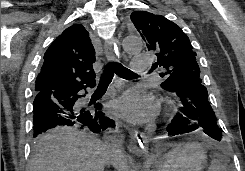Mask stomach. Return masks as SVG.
<instances>
[{
	"label": "stomach",
	"mask_w": 245,
	"mask_h": 171,
	"mask_svg": "<svg viewBox=\"0 0 245 171\" xmlns=\"http://www.w3.org/2000/svg\"><path fill=\"white\" fill-rule=\"evenodd\" d=\"M207 147L198 142L180 144L160 160L155 161L158 171H202L207 162Z\"/></svg>",
	"instance_id": "0dacf381"
}]
</instances>
